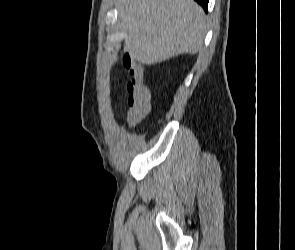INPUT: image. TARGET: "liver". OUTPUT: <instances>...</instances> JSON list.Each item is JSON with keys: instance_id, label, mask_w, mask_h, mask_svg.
Returning a JSON list of instances; mask_svg holds the SVG:
<instances>
[{"instance_id": "1", "label": "liver", "mask_w": 295, "mask_h": 250, "mask_svg": "<svg viewBox=\"0 0 295 250\" xmlns=\"http://www.w3.org/2000/svg\"><path fill=\"white\" fill-rule=\"evenodd\" d=\"M117 8L124 50L143 64L202 48L206 15L194 0H117Z\"/></svg>"}]
</instances>
